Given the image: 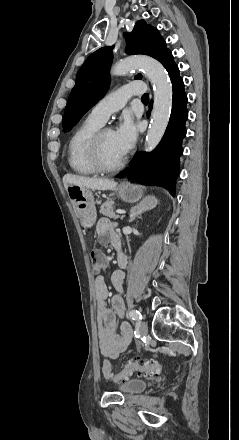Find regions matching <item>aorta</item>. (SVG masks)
<instances>
[{
  "mask_svg": "<svg viewBox=\"0 0 239 440\" xmlns=\"http://www.w3.org/2000/svg\"><path fill=\"white\" fill-rule=\"evenodd\" d=\"M143 68L145 76L154 84L152 120L145 140V150L152 152L159 144L167 128L172 108V86L168 82L162 64L149 56H131L111 70L112 76H125L130 70Z\"/></svg>",
  "mask_w": 239,
  "mask_h": 440,
  "instance_id": "obj_1",
  "label": "aorta"
}]
</instances>
